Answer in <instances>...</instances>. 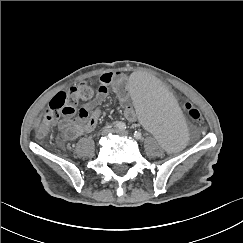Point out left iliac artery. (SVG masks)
<instances>
[{
	"mask_svg": "<svg viewBox=\"0 0 243 243\" xmlns=\"http://www.w3.org/2000/svg\"><path fill=\"white\" fill-rule=\"evenodd\" d=\"M134 137H135L136 139H140V138L142 137V134H141L140 132H138V131H135V133H134Z\"/></svg>",
	"mask_w": 243,
	"mask_h": 243,
	"instance_id": "obj_1",
	"label": "left iliac artery"
}]
</instances>
